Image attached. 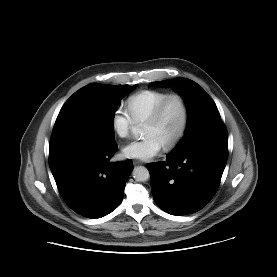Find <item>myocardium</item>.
Listing matches in <instances>:
<instances>
[{
  "label": "myocardium",
  "mask_w": 277,
  "mask_h": 277,
  "mask_svg": "<svg viewBox=\"0 0 277 277\" xmlns=\"http://www.w3.org/2000/svg\"><path fill=\"white\" fill-rule=\"evenodd\" d=\"M171 99H178L180 101V103L182 105V109H183V118H182V123H181L180 129L177 132V134L167 144L164 145V148L166 150H170V149L174 148L186 134L188 124H189V118H190L189 105H188L186 98L180 93L168 94L158 104V106L156 107V109L154 110L152 115L145 121V123H149V124L158 123L163 115V112H164V109H165L167 103Z\"/></svg>",
  "instance_id": "1"
}]
</instances>
